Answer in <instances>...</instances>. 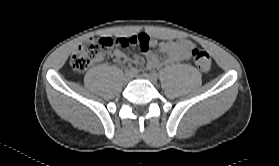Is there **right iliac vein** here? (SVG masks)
I'll use <instances>...</instances> for the list:
<instances>
[{"label": "right iliac vein", "instance_id": "1", "mask_svg": "<svg viewBox=\"0 0 279 166\" xmlns=\"http://www.w3.org/2000/svg\"><path fill=\"white\" fill-rule=\"evenodd\" d=\"M132 78H133V75L129 72H126L125 75H124L123 80H124L125 83H128L129 81H131Z\"/></svg>", "mask_w": 279, "mask_h": 166}]
</instances>
